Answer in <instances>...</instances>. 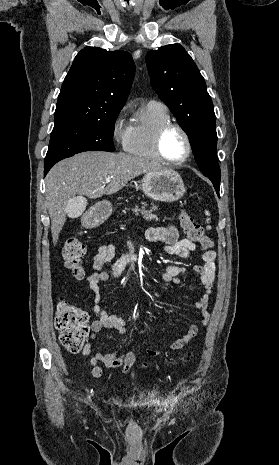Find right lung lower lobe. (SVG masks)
Masks as SVG:
<instances>
[{"label": "right lung lower lobe", "instance_id": "1", "mask_svg": "<svg viewBox=\"0 0 279 465\" xmlns=\"http://www.w3.org/2000/svg\"><path fill=\"white\" fill-rule=\"evenodd\" d=\"M53 166V165H52ZM52 166L44 167V175L47 174V172L50 170Z\"/></svg>", "mask_w": 279, "mask_h": 465}]
</instances>
